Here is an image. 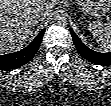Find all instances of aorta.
<instances>
[{
    "label": "aorta",
    "mask_w": 111,
    "mask_h": 106,
    "mask_svg": "<svg viewBox=\"0 0 111 106\" xmlns=\"http://www.w3.org/2000/svg\"><path fill=\"white\" fill-rule=\"evenodd\" d=\"M58 20L61 21V22H65V17H64V16H61V17H59Z\"/></svg>",
    "instance_id": "obj_1"
}]
</instances>
